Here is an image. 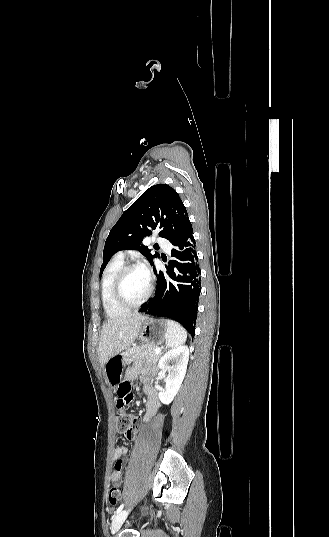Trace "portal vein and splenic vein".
<instances>
[{"instance_id":"obj_1","label":"portal vein and splenic vein","mask_w":329,"mask_h":537,"mask_svg":"<svg viewBox=\"0 0 329 537\" xmlns=\"http://www.w3.org/2000/svg\"><path fill=\"white\" fill-rule=\"evenodd\" d=\"M155 352H156V353H160V352H161V349H160V348H156V349H155Z\"/></svg>"}]
</instances>
